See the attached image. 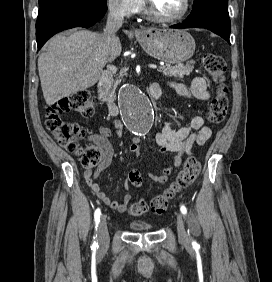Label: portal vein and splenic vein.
Listing matches in <instances>:
<instances>
[{
	"label": "portal vein and splenic vein",
	"instance_id": "obj_1",
	"mask_svg": "<svg viewBox=\"0 0 272 282\" xmlns=\"http://www.w3.org/2000/svg\"><path fill=\"white\" fill-rule=\"evenodd\" d=\"M148 66L152 69H157V65H155V64H149Z\"/></svg>",
	"mask_w": 272,
	"mask_h": 282
}]
</instances>
